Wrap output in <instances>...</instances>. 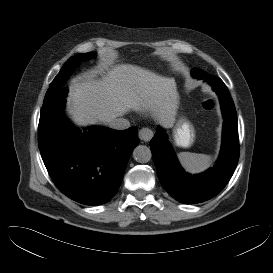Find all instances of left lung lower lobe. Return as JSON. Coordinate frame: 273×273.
I'll use <instances>...</instances> for the list:
<instances>
[{
    "instance_id": "0a47b994",
    "label": "left lung lower lobe",
    "mask_w": 273,
    "mask_h": 273,
    "mask_svg": "<svg viewBox=\"0 0 273 273\" xmlns=\"http://www.w3.org/2000/svg\"><path fill=\"white\" fill-rule=\"evenodd\" d=\"M191 74L205 80L220 99L224 118L222 147L216 165L199 175L186 173L172 150L161 127L150 142L153 161L163 188L175 200L185 204H197L215 197L232 177L239 159L237 113L231 95L223 81L197 68Z\"/></svg>"
}]
</instances>
